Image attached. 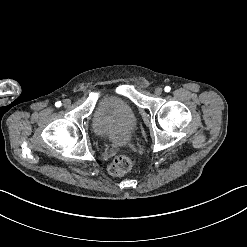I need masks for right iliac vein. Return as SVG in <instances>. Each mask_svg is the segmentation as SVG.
Wrapping results in <instances>:
<instances>
[{"label": "right iliac vein", "instance_id": "obj_1", "mask_svg": "<svg viewBox=\"0 0 247 247\" xmlns=\"http://www.w3.org/2000/svg\"><path fill=\"white\" fill-rule=\"evenodd\" d=\"M70 105H71V101H70L69 99H65V100L63 101V106H64L65 108H68Z\"/></svg>", "mask_w": 247, "mask_h": 247}]
</instances>
